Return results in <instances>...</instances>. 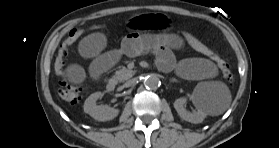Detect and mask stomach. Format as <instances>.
Masks as SVG:
<instances>
[{"mask_svg":"<svg viewBox=\"0 0 279 148\" xmlns=\"http://www.w3.org/2000/svg\"><path fill=\"white\" fill-rule=\"evenodd\" d=\"M128 30L137 36L149 31L156 36L168 37L173 35L178 27L176 19L168 14H153L149 18L147 15L136 12L131 14L126 22Z\"/></svg>","mask_w":279,"mask_h":148,"instance_id":"obj_1","label":"stomach"}]
</instances>
